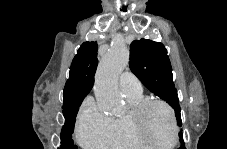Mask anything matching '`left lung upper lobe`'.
I'll return each mask as SVG.
<instances>
[{
  "instance_id": "left-lung-upper-lobe-1",
  "label": "left lung upper lobe",
  "mask_w": 227,
  "mask_h": 149,
  "mask_svg": "<svg viewBox=\"0 0 227 149\" xmlns=\"http://www.w3.org/2000/svg\"><path fill=\"white\" fill-rule=\"evenodd\" d=\"M130 68L146 88L173 107L178 124L181 126L179 99L164 45L148 39L133 41L130 45ZM179 137L181 138L180 148H184L182 132Z\"/></svg>"
}]
</instances>
